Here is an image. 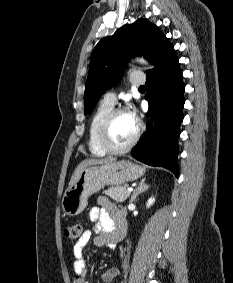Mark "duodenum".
<instances>
[{
    "label": "duodenum",
    "mask_w": 233,
    "mask_h": 283,
    "mask_svg": "<svg viewBox=\"0 0 233 283\" xmlns=\"http://www.w3.org/2000/svg\"><path fill=\"white\" fill-rule=\"evenodd\" d=\"M124 233H125V223L123 221H121V222L118 223V227H117L116 233L114 235L115 241L121 240L124 236Z\"/></svg>",
    "instance_id": "410a0bca"
}]
</instances>
